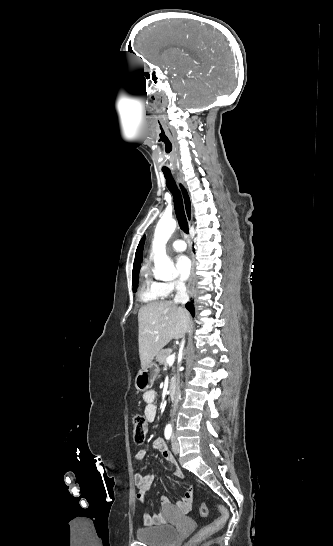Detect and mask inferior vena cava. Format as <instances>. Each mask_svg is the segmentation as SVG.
<instances>
[{
  "label": "inferior vena cava",
  "mask_w": 333,
  "mask_h": 546,
  "mask_svg": "<svg viewBox=\"0 0 333 546\" xmlns=\"http://www.w3.org/2000/svg\"><path fill=\"white\" fill-rule=\"evenodd\" d=\"M175 287H176L177 292H176V295H175V298H174V302L175 303L186 304L189 301V295L187 293L185 283L182 282V281H176L175 282ZM184 343H185V339L183 337V340H182V343H181L182 347L184 346ZM179 398H180V387H179V384H177L176 396H175L174 405H173L174 411L177 408Z\"/></svg>",
  "instance_id": "inferior-vena-cava-1"
}]
</instances>
